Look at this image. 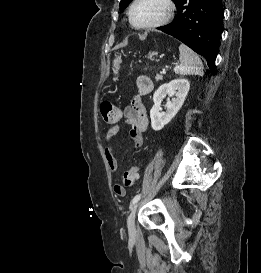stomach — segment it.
Wrapping results in <instances>:
<instances>
[{
  "label": "stomach",
  "instance_id": "stomach-1",
  "mask_svg": "<svg viewBox=\"0 0 261 273\" xmlns=\"http://www.w3.org/2000/svg\"><path fill=\"white\" fill-rule=\"evenodd\" d=\"M154 55H156V52H150L148 57L152 58ZM120 63H121L120 57H117L116 59H114V61H113V66H114L113 71H114L115 74L118 73ZM114 79L116 80V78H114Z\"/></svg>",
  "mask_w": 261,
  "mask_h": 273
}]
</instances>
